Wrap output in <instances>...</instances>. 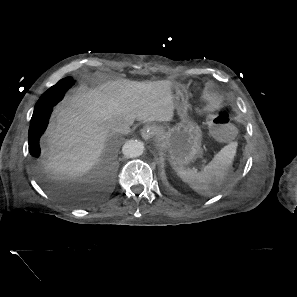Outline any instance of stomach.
Listing matches in <instances>:
<instances>
[{
	"label": "stomach",
	"mask_w": 297,
	"mask_h": 297,
	"mask_svg": "<svg viewBox=\"0 0 297 297\" xmlns=\"http://www.w3.org/2000/svg\"><path fill=\"white\" fill-rule=\"evenodd\" d=\"M174 99L178 106L181 122L165 130L157 129L161 148L170 156V162L176 167H183L202 156V131L193 121L186 118L187 94L180 84L173 85Z\"/></svg>",
	"instance_id": "0dacf381"
}]
</instances>
